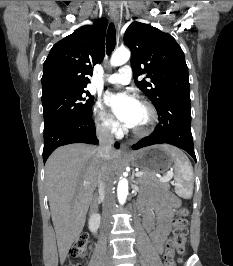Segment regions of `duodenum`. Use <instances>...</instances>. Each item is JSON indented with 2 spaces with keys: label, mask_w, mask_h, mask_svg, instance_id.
I'll list each match as a JSON object with an SVG mask.
<instances>
[{
  "label": "duodenum",
  "mask_w": 233,
  "mask_h": 266,
  "mask_svg": "<svg viewBox=\"0 0 233 266\" xmlns=\"http://www.w3.org/2000/svg\"><path fill=\"white\" fill-rule=\"evenodd\" d=\"M97 212V204L94 202L92 205V213L96 214ZM94 235L97 236V232H94Z\"/></svg>",
  "instance_id": "duodenum-1"
}]
</instances>
